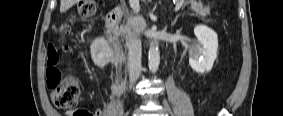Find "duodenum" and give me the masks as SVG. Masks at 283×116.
Segmentation results:
<instances>
[{"instance_id":"410a0bca","label":"duodenum","mask_w":283,"mask_h":116,"mask_svg":"<svg viewBox=\"0 0 283 116\" xmlns=\"http://www.w3.org/2000/svg\"><path fill=\"white\" fill-rule=\"evenodd\" d=\"M122 14V7H115L113 8L111 11H109V13L106 16L105 19V28L106 31L108 33V35L110 36L111 40H112V44L115 46V48L117 49L118 53H119V57L117 59V62L122 64L125 61V55L123 53V51H121L118 48V42H117V38L115 35V29H116V25L121 17ZM123 84L121 83L120 86H122Z\"/></svg>"}]
</instances>
